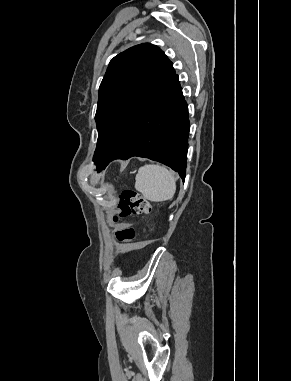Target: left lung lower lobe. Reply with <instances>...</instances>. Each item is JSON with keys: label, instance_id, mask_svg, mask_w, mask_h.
I'll use <instances>...</instances> for the list:
<instances>
[{"label": "left lung lower lobe", "instance_id": "left-lung-lower-lobe-1", "mask_svg": "<svg viewBox=\"0 0 291 381\" xmlns=\"http://www.w3.org/2000/svg\"><path fill=\"white\" fill-rule=\"evenodd\" d=\"M189 130L188 107L176 75L145 105L98 170L115 159L139 156L171 167L184 180Z\"/></svg>", "mask_w": 291, "mask_h": 381}]
</instances>
